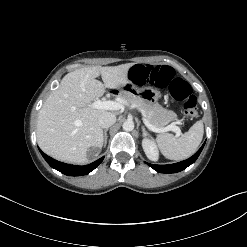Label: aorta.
Wrapping results in <instances>:
<instances>
[{"instance_id": "1", "label": "aorta", "mask_w": 247, "mask_h": 247, "mask_svg": "<svg viewBox=\"0 0 247 247\" xmlns=\"http://www.w3.org/2000/svg\"><path fill=\"white\" fill-rule=\"evenodd\" d=\"M125 131H132L134 129V122L131 120H127L122 125Z\"/></svg>"}]
</instances>
